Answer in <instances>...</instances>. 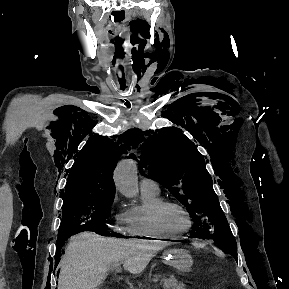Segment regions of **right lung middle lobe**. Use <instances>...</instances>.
<instances>
[{
    "instance_id": "dd1d6c3e",
    "label": "right lung middle lobe",
    "mask_w": 289,
    "mask_h": 289,
    "mask_svg": "<svg viewBox=\"0 0 289 289\" xmlns=\"http://www.w3.org/2000/svg\"><path fill=\"white\" fill-rule=\"evenodd\" d=\"M114 196V193H100L65 198L57 240H67L82 231L109 235L104 227L107 222L106 213L110 210Z\"/></svg>"
}]
</instances>
